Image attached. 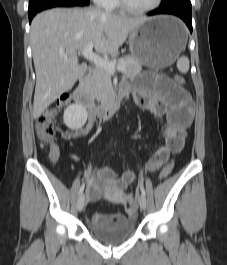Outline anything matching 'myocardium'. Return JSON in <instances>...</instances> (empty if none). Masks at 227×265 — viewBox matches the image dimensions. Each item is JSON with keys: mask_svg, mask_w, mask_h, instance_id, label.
Instances as JSON below:
<instances>
[{"mask_svg": "<svg viewBox=\"0 0 227 265\" xmlns=\"http://www.w3.org/2000/svg\"><path fill=\"white\" fill-rule=\"evenodd\" d=\"M120 6L122 9H124L125 11L132 13V14H146L149 12H152L154 10H156L162 3V0H155V2L146 8H135L132 5H130V3L128 2V0H118Z\"/></svg>", "mask_w": 227, "mask_h": 265, "instance_id": "1", "label": "myocardium"}]
</instances>
